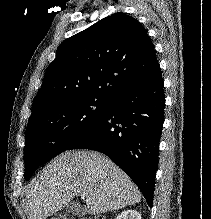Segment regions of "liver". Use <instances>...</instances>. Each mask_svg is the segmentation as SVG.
<instances>
[{"mask_svg":"<svg viewBox=\"0 0 211 219\" xmlns=\"http://www.w3.org/2000/svg\"><path fill=\"white\" fill-rule=\"evenodd\" d=\"M77 194L86 197L84 212L88 214L122 209L141 200L134 182L105 155L66 151L30 184L26 195L29 219H46Z\"/></svg>","mask_w":211,"mask_h":219,"instance_id":"6515ba94","label":"liver"}]
</instances>
